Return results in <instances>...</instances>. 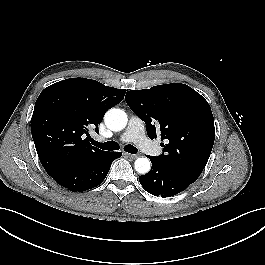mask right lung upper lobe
I'll return each instance as SVG.
<instances>
[{
	"label": "right lung upper lobe",
	"mask_w": 265,
	"mask_h": 265,
	"mask_svg": "<svg viewBox=\"0 0 265 265\" xmlns=\"http://www.w3.org/2000/svg\"><path fill=\"white\" fill-rule=\"evenodd\" d=\"M125 93V89L86 78L66 79L41 92L31 118V132L48 174L106 153L84 138L91 128L98 132L106 111L120 103Z\"/></svg>",
	"instance_id": "cb5924a9"
}]
</instances>
